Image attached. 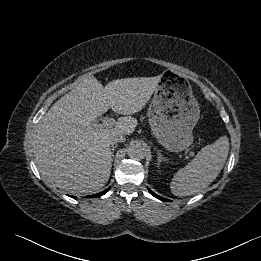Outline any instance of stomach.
I'll use <instances>...</instances> for the list:
<instances>
[{"label":"stomach","instance_id":"stomach-1","mask_svg":"<svg viewBox=\"0 0 261 261\" xmlns=\"http://www.w3.org/2000/svg\"><path fill=\"white\" fill-rule=\"evenodd\" d=\"M200 115L190 82L173 70L160 75L148 109L151 131L167 150L180 152L193 142V128Z\"/></svg>","mask_w":261,"mask_h":261}]
</instances>
